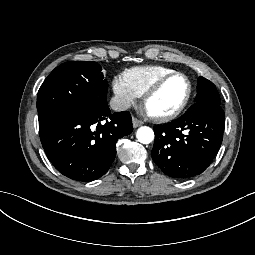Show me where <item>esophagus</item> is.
Returning <instances> with one entry per match:
<instances>
[{"label":"esophagus","mask_w":255,"mask_h":255,"mask_svg":"<svg viewBox=\"0 0 255 255\" xmlns=\"http://www.w3.org/2000/svg\"><path fill=\"white\" fill-rule=\"evenodd\" d=\"M132 123L134 128H137L143 124V122L138 120L136 117L132 118Z\"/></svg>","instance_id":"esophagus-1"}]
</instances>
